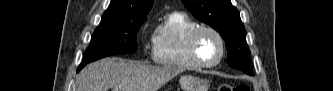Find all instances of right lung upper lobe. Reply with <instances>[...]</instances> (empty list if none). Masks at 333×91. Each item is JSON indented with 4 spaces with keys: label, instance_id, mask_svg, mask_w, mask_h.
<instances>
[{
    "label": "right lung upper lobe",
    "instance_id": "right-lung-upper-lobe-1",
    "mask_svg": "<svg viewBox=\"0 0 333 91\" xmlns=\"http://www.w3.org/2000/svg\"><path fill=\"white\" fill-rule=\"evenodd\" d=\"M153 0H111L104 12V19H135L147 17Z\"/></svg>",
    "mask_w": 333,
    "mask_h": 91
}]
</instances>
